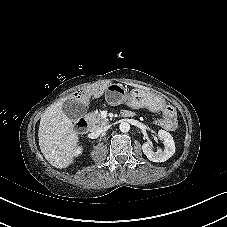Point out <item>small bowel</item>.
Wrapping results in <instances>:
<instances>
[{"instance_id":"1","label":"small bowel","mask_w":227,"mask_h":227,"mask_svg":"<svg viewBox=\"0 0 227 227\" xmlns=\"http://www.w3.org/2000/svg\"><path fill=\"white\" fill-rule=\"evenodd\" d=\"M164 116L159 118L156 121V124L163 128L164 130H174L176 127V120L174 118V111L171 107L167 106L163 109ZM125 115H130L128 112L125 113Z\"/></svg>"}]
</instances>
